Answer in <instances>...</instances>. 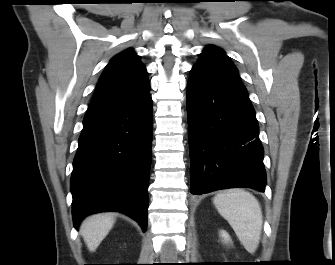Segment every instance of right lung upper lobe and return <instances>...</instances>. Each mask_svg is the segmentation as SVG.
Here are the masks:
<instances>
[{"label": "right lung upper lobe", "mask_w": 335, "mask_h": 265, "mask_svg": "<svg viewBox=\"0 0 335 265\" xmlns=\"http://www.w3.org/2000/svg\"><path fill=\"white\" fill-rule=\"evenodd\" d=\"M147 72L133 49L111 59L102 73L89 110L126 105L149 94Z\"/></svg>", "instance_id": "cb5924a9"}]
</instances>
